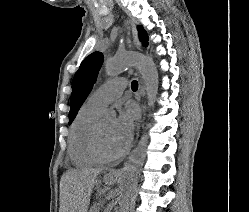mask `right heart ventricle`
Listing matches in <instances>:
<instances>
[{
	"mask_svg": "<svg viewBox=\"0 0 249 212\" xmlns=\"http://www.w3.org/2000/svg\"><path fill=\"white\" fill-rule=\"evenodd\" d=\"M102 109L88 100L78 109L71 124L68 139V154L77 167H90L99 164L92 147V130Z\"/></svg>",
	"mask_w": 249,
	"mask_h": 212,
	"instance_id": "e07e8e85",
	"label": "right heart ventricle"
}]
</instances>
